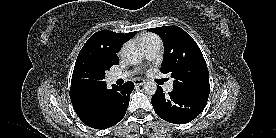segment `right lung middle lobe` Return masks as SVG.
<instances>
[{
    "label": "right lung middle lobe",
    "instance_id": "obj_1",
    "mask_svg": "<svg viewBox=\"0 0 276 138\" xmlns=\"http://www.w3.org/2000/svg\"><path fill=\"white\" fill-rule=\"evenodd\" d=\"M118 63H103L100 65L88 66L78 71V78L81 83L88 86L98 85L105 81V72L110 69L112 65Z\"/></svg>",
    "mask_w": 276,
    "mask_h": 138
}]
</instances>
